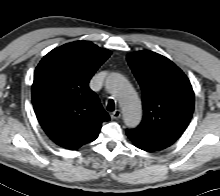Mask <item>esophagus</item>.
Returning a JSON list of instances; mask_svg holds the SVG:
<instances>
[{
	"instance_id": "1",
	"label": "esophagus",
	"mask_w": 220,
	"mask_h": 196,
	"mask_svg": "<svg viewBox=\"0 0 220 196\" xmlns=\"http://www.w3.org/2000/svg\"><path fill=\"white\" fill-rule=\"evenodd\" d=\"M110 116L112 119H119L121 117V111L116 110V111L112 112Z\"/></svg>"
}]
</instances>
